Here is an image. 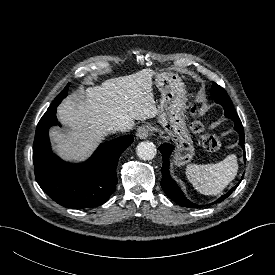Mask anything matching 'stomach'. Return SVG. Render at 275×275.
Returning a JSON list of instances; mask_svg holds the SVG:
<instances>
[{"label": "stomach", "instance_id": "0dacf381", "mask_svg": "<svg viewBox=\"0 0 275 275\" xmlns=\"http://www.w3.org/2000/svg\"><path fill=\"white\" fill-rule=\"evenodd\" d=\"M155 84L161 92L158 120L168 137L175 143L174 164L182 166L193 159L194 147L185 121L186 91L175 72L155 74Z\"/></svg>", "mask_w": 275, "mask_h": 275}]
</instances>
